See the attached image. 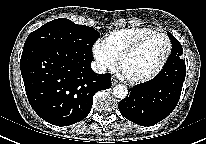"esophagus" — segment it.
<instances>
[{
	"label": "esophagus",
	"mask_w": 206,
	"mask_h": 144,
	"mask_svg": "<svg viewBox=\"0 0 206 144\" xmlns=\"http://www.w3.org/2000/svg\"><path fill=\"white\" fill-rule=\"evenodd\" d=\"M118 83V81L115 78L111 79L112 86H115Z\"/></svg>",
	"instance_id": "1"
}]
</instances>
